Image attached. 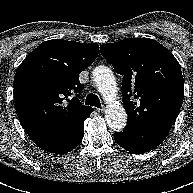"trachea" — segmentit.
Masks as SVG:
<instances>
[{
    "mask_svg": "<svg viewBox=\"0 0 193 193\" xmlns=\"http://www.w3.org/2000/svg\"><path fill=\"white\" fill-rule=\"evenodd\" d=\"M85 105L94 106L97 108H101L100 100L97 95L91 93L87 96Z\"/></svg>",
    "mask_w": 193,
    "mask_h": 193,
    "instance_id": "trachea-1",
    "label": "trachea"
}]
</instances>
